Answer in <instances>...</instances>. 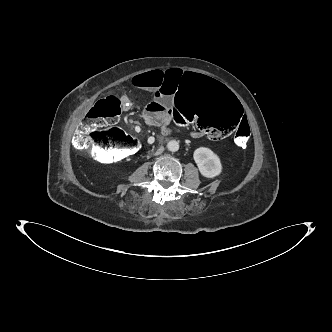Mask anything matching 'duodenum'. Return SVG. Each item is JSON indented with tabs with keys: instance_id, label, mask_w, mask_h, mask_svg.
Listing matches in <instances>:
<instances>
[{
	"instance_id": "410a0bca",
	"label": "duodenum",
	"mask_w": 332,
	"mask_h": 332,
	"mask_svg": "<svg viewBox=\"0 0 332 332\" xmlns=\"http://www.w3.org/2000/svg\"><path fill=\"white\" fill-rule=\"evenodd\" d=\"M163 134H164V135H169V134H170V130L167 129V128H164V129H163Z\"/></svg>"
}]
</instances>
